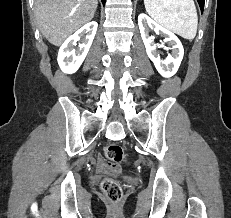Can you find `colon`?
Wrapping results in <instances>:
<instances>
[{
  "mask_svg": "<svg viewBox=\"0 0 231 218\" xmlns=\"http://www.w3.org/2000/svg\"><path fill=\"white\" fill-rule=\"evenodd\" d=\"M106 157L112 162L119 164L125 161L123 149L117 144H109L104 149ZM101 189L106 198L113 204H117L123 196V190L118 181L106 178L101 183Z\"/></svg>",
  "mask_w": 231,
  "mask_h": 218,
  "instance_id": "colon-1",
  "label": "colon"
}]
</instances>
